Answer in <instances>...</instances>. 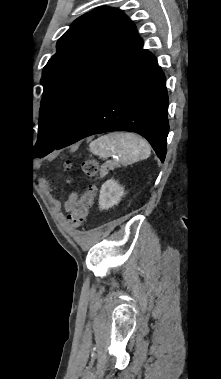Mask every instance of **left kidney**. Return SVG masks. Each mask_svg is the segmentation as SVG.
<instances>
[{"instance_id":"1","label":"left kidney","mask_w":221,"mask_h":379,"mask_svg":"<svg viewBox=\"0 0 221 379\" xmlns=\"http://www.w3.org/2000/svg\"><path fill=\"white\" fill-rule=\"evenodd\" d=\"M124 195V188L113 179L107 180L100 189L99 208L107 210L117 205Z\"/></svg>"}]
</instances>
